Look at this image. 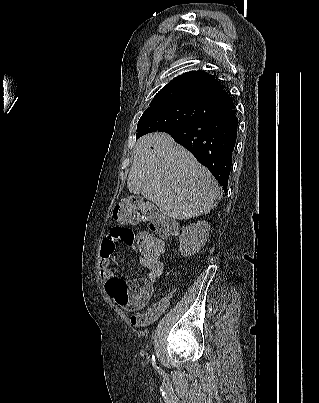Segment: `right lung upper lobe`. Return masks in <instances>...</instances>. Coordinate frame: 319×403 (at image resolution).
<instances>
[{"mask_svg": "<svg viewBox=\"0 0 319 403\" xmlns=\"http://www.w3.org/2000/svg\"><path fill=\"white\" fill-rule=\"evenodd\" d=\"M176 102L201 105L211 113L235 107L224 86L204 71H190L174 78L155 95L150 105Z\"/></svg>", "mask_w": 319, "mask_h": 403, "instance_id": "cb5924a9", "label": "right lung upper lobe"}]
</instances>
